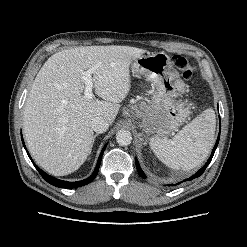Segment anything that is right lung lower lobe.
<instances>
[{"instance_id":"right-lung-lower-lobe-1","label":"right lung lower lobe","mask_w":247,"mask_h":247,"mask_svg":"<svg viewBox=\"0 0 247 247\" xmlns=\"http://www.w3.org/2000/svg\"><path fill=\"white\" fill-rule=\"evenodd\" d=\"M22 142H23V138H22ZM23 145L25 147V144L23 142ZM106 148V145L104 146V148L102 149V152L99 156V159H98V162H97V165H96V168L93 172V174L85 179V180H82V181H77V182H67V181H62V180H59V179H56L48 174H46L45 172H43L36 164H34V166L36 167L37 171L41 174V176L50 184L56 186V187H60V188H77V187H81V186H84L88 183H90L91 181L94 180V178L96 177L97 173H98V170H99V167H100V163H101V158H102V155H103V152ZM26 149V147H25ZM27 151V149H26ZM27 154L29 156V158L31 159L28 151H27ZM31 161L33 162V160L31 159Z\"/></svg>"}]
</instances>
